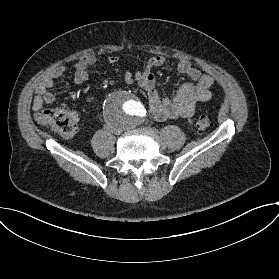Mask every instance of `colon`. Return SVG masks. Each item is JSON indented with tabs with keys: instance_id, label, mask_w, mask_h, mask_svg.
Masks as SVG:
<instances>
[{
	"instance_id": "5ec220e1",
	"label": "colon",
	"mask_w": 279,
	"mask_h": 279,
	"mask_svg": "<svg viewBox=\"0 0 279 279\" xmlns=\"http://www.w3.org/2000/svg\"><path fill=\"white\" fill-rule=\"evenodd\" d=\"M38 122L65 138L72 137L78 128L64 109H45L39 113ZM212 123L209 115L201 114L197 118V130L205 133L212 127Z\"/></svg>"
}]
</instances>
